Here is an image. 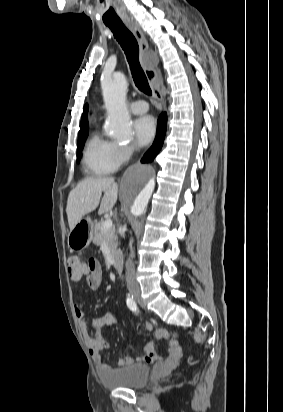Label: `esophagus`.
<instances>
[{
	"label": "esophagus",
	"mask_w": 283,
	"mask_h": 412,
	"mask_svg": "<svg viewBox=\"0 0 283 412\" xmlns=\"http://www.w3.org/2000/svg\"><path fill=\"white\" fill-rule=\"evenodd\" d=\"M125 24L133 32L134 36L136 37L138 41L139 49H140L141 65L143 67V70L150 84L152 85L154 96L159 102H162L163 96L161 93V81L158 78V73L156 70L157 63L149 59L147 56L148 49H149L148 42L142 30L133 20H126Z\"/></svg>",
	"instance_id": "34e87169"
}]
</instances>
